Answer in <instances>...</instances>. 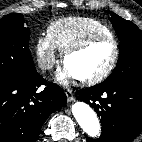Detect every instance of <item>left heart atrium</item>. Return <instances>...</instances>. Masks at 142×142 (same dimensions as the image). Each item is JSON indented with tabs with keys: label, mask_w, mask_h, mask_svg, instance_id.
Returning <instances> with one entry per match:
<instances>
[{
	"label": "left heart atrium",
	"mask_w": 142,
	"mask_h": 142,
	"mask_svg": "<svg viewBox=\"0 0 142 142\" xmlns=\"http://www.w3.org/2000/svg\"><path fill=\"white\" fill-rule=\"evenodd\" d=\"M72 78H76V77L72 73V71L69 68H67L65 65H64L63 69H61L57 73V80L61 83H65Z\"/></svg>",
	"instance_id": "39dd6f15"
}]
</instances>
